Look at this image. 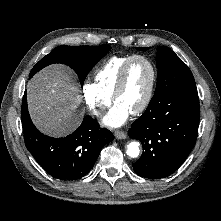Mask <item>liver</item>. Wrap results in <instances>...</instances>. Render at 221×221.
Returning <instances> with one entry per match:
<instances>
[{"label": "liver", "instance_id": "6515ba94", "mask_svg": "<svg viewBox=\"0 0 221 221\" xmlns=\"http://www.w3.org/2000/svg\"><path fill=\"white\" fill-rule=\"evenodd\" d=\"M27 101L33 123L46 135L66 136L81 123L75 74L64 65H50L36 74L27 85Z\"/></svg>", "mask_w": 221, "mask_h": 221}]
</instances>
